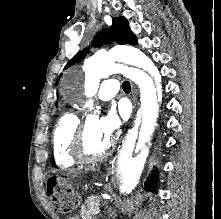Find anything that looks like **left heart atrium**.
Segmentation results:
<instances>
[{
    "label": "left heart atrium",
    "mask_w": 221,
    "mask_h": 219,
    "mask_svg": "<svg viewBox=\"0 0 221 219\" xmlns=\"http://www.w3.org/2000/svg\"><path fill=\"white\" fill-rule=\"evenodd\" d=\"M100 132L107 139H111L113 134L120 127V119L114 110H109L98 123Z\"/></svg>",
    "instance_id": "obj_1"
}]
</instances>
